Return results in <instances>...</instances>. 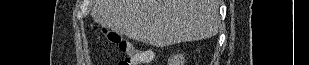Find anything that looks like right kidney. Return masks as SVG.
Returning a JSON list of instances; mask_svg holds the SVG:
<instances>
[{"mask_svg":"<svg viewBox=\"0 0 309 65\" xmlns=\"http://www.w3.org/2000/svg\"><path fill=\"white\" fill-rule=\"evenodd\" d=\"M170 65H183L184 64V55L178 54L169 60Z\"/></svg>","mask_w":309,"mask_h":65,"instance_id":"1","label":"right kidney"}]
</instances>
